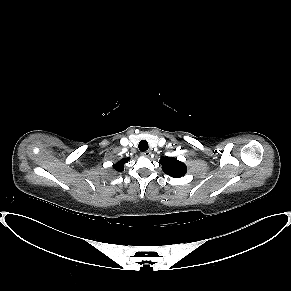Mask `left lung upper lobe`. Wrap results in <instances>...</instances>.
Returning a JSON list of instances; mask_svg holds the SVG:
<instances>
[{
    "label": "left lung upper lobe",
    "instance_id": "left-lung-upper-lobe-1",
    "mask_svg": "<svg viewBox=\"0 0 291 291\" xmlns=\"http://www.w3.org/2000/svg\"><path fill=\"white\" fill-rule=\"evenodd\" d=\"M162 170L173 178H180L186 174V165L177 160V158L163 156L160 159Z\"/></svg>",
    "mask_w": 291,
    "mask_h": 291
}]
</instances>
